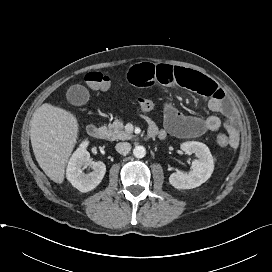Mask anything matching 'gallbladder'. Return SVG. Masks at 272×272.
Returning a JSON list of instances; mask_svg holds the SVG:
<instances>
[{"label": "gallbladder", "mask_w": 272, "mask_h": 272, "mask_svg": "<svg viewBox=\"0 0 272 272\" xmlns=\"http://www.w3.org/2000/svg\"><path fill=\"white\" fill-rule=\"evenodd\" d=\"M66 97L72 105H83L89 100V92L82 85H73L67 90Z\"/></svg>", "instance_id": "1"}]
</instances>
